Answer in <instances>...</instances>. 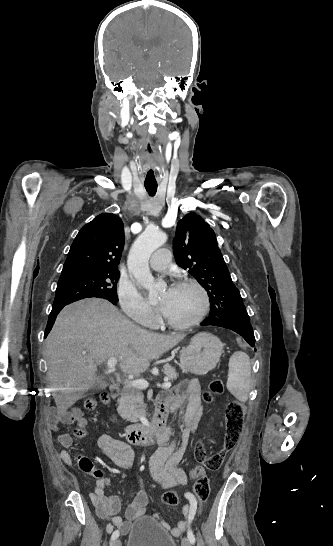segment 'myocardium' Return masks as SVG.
I'll return each instance as SVG.
<instances>
[{"label":"myocardium","mask_w":333,"mask_h":546,"mask_svg":"<svg viewBox=\"0 0 333 546\" xmlns=\"http://www.w3.org/2000/svg\"><path fill=\"white\" fill-rule=\"evenodd\" d=\"M183 286L193 287L199 292L201 296V306H200L199 312L193 319L183 323L175 322L171 320L170 318H168L166 315H164L165 324H167L169 327L176 330H187L197 326L204 320V318L207 316L210 309L209 294L207 290L205 289V287L199 281L193 278H183L179 280L175 285V287H183Z\"/></svg>","instance_id":"myocardium-1"}]
</instances>
